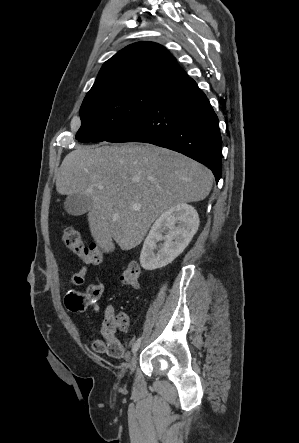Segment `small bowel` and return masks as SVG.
Listing matches in <instances>:
<instances>
[{"instance_id": "c3829d8e", "label": "small bowel", "mask_w": 299, "mask_h": 443, "mask_svg": "<svg viewBox=\"0 0 299 443\" xmlns=\"http://www.w3.org/2000/svg\"><path fill=\"white\" fill-rule=\"evenodd\" d=\"M88 268L83 266L78 272L74 273L70 278V284L73 286H80L85 282ZM104 292V284L99 276L95 277V282L89 284L85 291L71 290L66 294L65 305L69 311L80 312L88 307H92L95 311L99 310L98 302ZM127 323L128 317L125 313ZM115 310L112 306L105 308L103 313V338L94 337L91 340V348L94 352L99 354H107L112 358H126L128 353L125 352V348L121 341L116 337L115 332L110 329V323L115 318ZM127 326V325H126ZM125 326V327H126Z\"/></svg>"}]
</instances>
